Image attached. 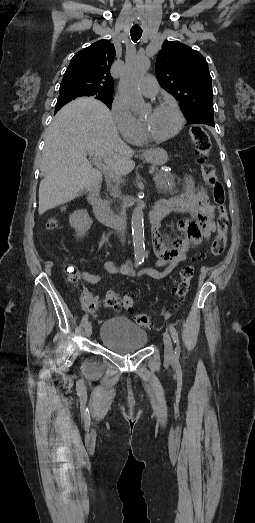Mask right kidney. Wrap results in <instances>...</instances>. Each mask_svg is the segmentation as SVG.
Masks as SVG:
<instances>
[{
  "label": "right kidney",
  "instance_id": "1",
  "mask_svg": "<svg viewBox=\"0 0 255 523\" xmlns=\"http://www.w3.org/2000/svg\"><path fill=\"white\" fill-rule=\"evenodd\" d=\"M70 226L75 228L77 236H84L92 226V220L89 218L87 210H76L69 218Z\"/></svg>",
  "mask_w": 255,
  "mask_h": 523
}]
</instances>
